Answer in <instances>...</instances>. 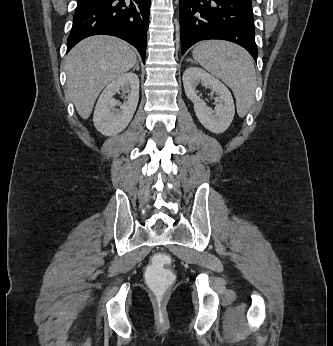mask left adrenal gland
<instances>
[{
	"instance_id": "left-adrenal-gland-1",
	"label": "left adrenal gland",
	"mask_w": 333,
	"mask_h": 346,
	"mask_svg": "<svg viewBox=\"0 0 333 346\" xmlns=\"http://www.w3.org/2000/svg\"><path fill=\"white\" fill-rule=\"evenodd\" d=\"M187 61H190V62H192V63H193V60H192L191 58H188V59H187Z\"/></svg>"
}]
</instances>
